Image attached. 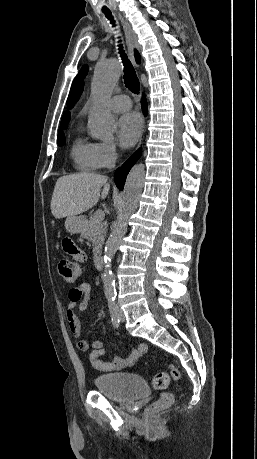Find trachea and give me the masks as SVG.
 <instances>
[{"label":"trachea","instance_id":"trachea-1","mask_svg":"<svg viewBox=\"0 0 257 459\" xmlns=\"http://www.w3.org/2000/svg\"><path fill=\"white\" fill-rule=\"evenodd\" d=\"M105 16L110 20L112 24L115 23L113 20V16L110 11H103ZM119 53L122 58L123 64H124V83L125 86L133 93L138 94L139 93V88H140V83L139 79L136 75L135 69L131 62L129 61L127 55L125 54L122 45H119Z\"/></svg>","mask_w":257,"mask_h":459}]
</instances>
